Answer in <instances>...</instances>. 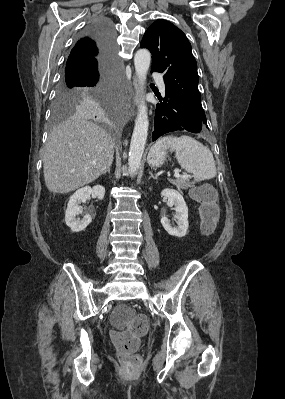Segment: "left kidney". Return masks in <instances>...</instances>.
<instances>
[{
  "label": "left kidney",
  "instance_id": "1",
  "mask_svg": "<svg viewBox=\"0 0 285 399\" xmlns=\"http://www.w3.org/2000/svg\"><path fill=\"white\" fill-rule=\"evenodd\" d=\"M162 196L167 197V205L169 207L175 206V219L177 220V227H172L167 217L161 218V223L164 229L171 236L184 237L188 230V207L184 201L183 196L174 189H164L161 192Z\"/></svg>",
  "mask_w": 285,
  "mask_h": 399
}]
</instances>
